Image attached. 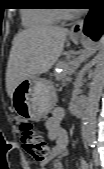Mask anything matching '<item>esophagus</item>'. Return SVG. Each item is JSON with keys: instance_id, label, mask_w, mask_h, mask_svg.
Masks as SVG:
<instances>
[{"instance_id": "34e87169", "label": "esophagus", "mask_w": 104, "mask_h": 169, "mask_svg": "<svg viewBox=\"0 0 104 169\" xmlns=\"http://www.w3.org/2000/svg\"><path fill=\"white\" fill-rule=\"evenodd\" d=\"M83 24H84V19L75 22L74 25L71 27L70 34L73 36L81 35L83 31Z\"/></svg>"}]
</instances>
